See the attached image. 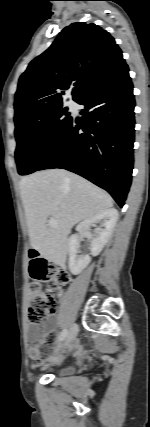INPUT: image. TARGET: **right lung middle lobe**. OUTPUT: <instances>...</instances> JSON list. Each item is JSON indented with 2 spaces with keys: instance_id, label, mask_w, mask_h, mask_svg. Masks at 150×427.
I'll list each match as a JSON object with an SVG mask.
<instances>
[{
  "instance_id": "obj_1",
  "label": "right lung middle lobe",
  "mask_w": 150,
  "mask_h": 427,
  "mask_svg": "<svg viewBox=\"0 0 150 427\" xmlns=\"http://www.w3.org/2000/svg\"><path fill=\"white\" fill-rule=\"evenodd\" d=\"M62 105L34 111L15 122L18 173H33L47 158L72 122Z\"/></svg>"
}]
</instances>
